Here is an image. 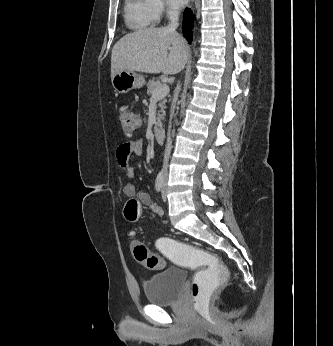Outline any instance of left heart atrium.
Listing matches in <instances>:
<instances>
[{"label":"left heart atrium","mask_w":333,"mask_h":346,"mask_svg":"<svg viewBox=\"0 0 333 346\" xmlns=\"http://www.w3.org/2000/svg\"><path fill=\"white\" fill-rule=\"evenodd\" d=\"M187 1L188 0H169V2L171 4H173L174 6H178V7L183 6L184 4H186Z\"/></svg>","instance_id":"39dd6f15"}]
</instances>
